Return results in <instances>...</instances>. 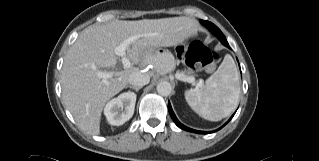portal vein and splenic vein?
<instances>
[{"label":"portal vein and splenic vein","mask_w":319,"mask_h":161,"mask_svg":"<svg viewBox=\"0 0 319 161\" xmlns=\"http://www.w3.org/2000/svg\"><path fill=\"white\" fill-rule=\"evenodd\" d=\"M137 39V37L133 36V37H130L126 40H124L120 45L116 46L114 48V53L121 57V61H122V64H123V67L124 69H128L131 67V62L130 60L127 58L126 56V50H127V47L133 43L135 40ZM112 72H102V71H98L97 75L98 77L102 78L103 80H107L109 77L112 76ZM176 78L181 80V81H184V82H188V83H194L195 82V78L194 77H191V76H186L184 74H176Z\"/></svg>","instance_id":"obj_1"}]
</instances>
